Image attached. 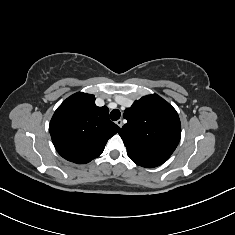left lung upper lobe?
<instances>
[{"mask_svg": "<svg viewBox=\"0 0 235 235\" xmlns=\"http://www.w3.org/2000/svg\"><path fill=\"white\" fill-rule=\"evenodd\" d=\"M120 129L127 155L146 168L163 164L176 149L181 123L176 110L157 94L142 97L124 112Z\"/></svg>", "mask_w": 235, "mask_h": 235, "instance_id": "left-lung-upper-lobe-1", "label": "left lung upper lobe"}]
</instances>
